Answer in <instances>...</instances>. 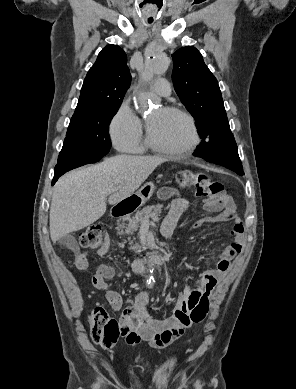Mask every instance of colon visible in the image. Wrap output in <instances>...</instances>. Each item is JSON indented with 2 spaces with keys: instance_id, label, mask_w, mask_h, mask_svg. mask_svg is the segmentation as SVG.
<instances>
[{
  "instance_id": "colon-1",
  "label": "colon",
  "mask_w": 296,
  "mask_h": 389,
  "mask_svg": "<svg viewBox=\"0 0 296 389\" xmlns=\"http://www.w3.org/2000/svg\"><path fill=\"white\" fill-rule=\"evenodd\" d=\"M177 182L183 187H195L196 197L203 199L205 205L215 207L220 205L224 198V187L219 181L213 180L203 172L183 170L177 174ZM78 241L86 248H102L105 240L102 229L98 225H89L78 234ZM205 313L193 314L192 320L197 323L203 320ZM90 330L93 341L104 347H112L121 334L120 325L111 318L104 307H96L90 314Z\"/></svg>"
}]
</instances>
